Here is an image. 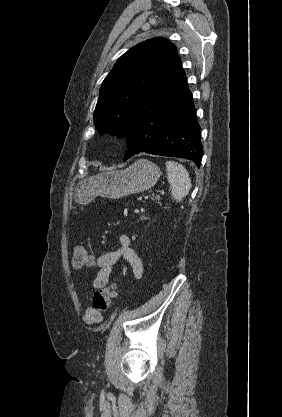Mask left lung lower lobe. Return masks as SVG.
<instances>
[{
    "label": "left lung lower lobe",
    "instance_id": "1",
    "mask_svg": "<svg viewBox=\"0 0 282 417\" xmlns=\"http://www.w3.org/2000/svg\"><path fill=\"white\" fill-rule=\"evenodd\" d=\"M125 136L124 161L145 152L190 159L200 166V126L180 60L134 112Z\"/></svg>",
    "mask_w": 282,
    "mask_h": 417
}]
</instances>
